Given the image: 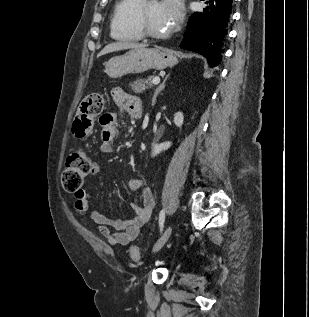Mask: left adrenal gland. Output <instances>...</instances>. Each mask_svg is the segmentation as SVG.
Instances as JSON below:
<instances>
[{
    "label": "left adrenal gland",
    "instance_id": "a2214340",
    "mask_svg": "<svg viewBox=\"0 0 309 317\" xmlns=\"http://www.w3.org/2000/svg\"><path fill=\"white\" fill-rule=\"evenodd\" d=\"M169 76H170V73L168 75H166L163 82L155 89L153 99H152L153 103L156 102L157 95L164 89L166 80L168 79Z\"/></svg>",
    "mask_w": 309,
    "mask_h": 317
}]
</instances>
